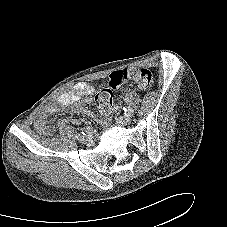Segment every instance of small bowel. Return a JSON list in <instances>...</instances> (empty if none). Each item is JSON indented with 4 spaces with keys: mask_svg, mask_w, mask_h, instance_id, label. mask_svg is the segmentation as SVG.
Listing matches in <instances>:
<instances>
[{
    "mask_svg": "<svg viewBox=\"0 0 227 227\" xmlns=\"http://www.w3.org/2000/svg\"><path fill=\"white\" fill-rule=\"evenodd\" d=\"M95 91L94 85L86 82L77 83L73 86L69 92L60 94L56 102L48 104L43 111L38 115L35 127L41 134H47L49 131V117L56 114L60 107L68 108L72 113H85L97 121L101 122L91 111L84 108L85 103L88 101L87 96L91 95ZM116 106L112 105L110 109L104 113H110L116 110ZM72 122L78 124L76 119L62 120L58 123V126Z\"/></svg>",
    "mask_w": 227,
    "mask_h": 227,
    "instance_id": "1",
    "label": "small bowel"
}]
</instances>
